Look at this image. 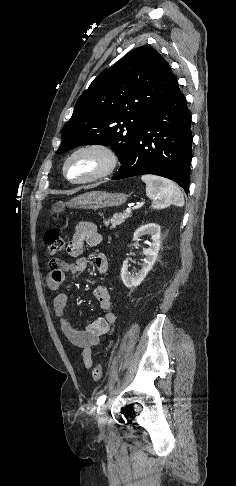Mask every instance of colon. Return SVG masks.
Returning <instances> with one entry per match:
<instances>
[{"label":"colon","mask_w":236,"mask_h":486,"mask_svg":"<svg viewBox=\"0 0 236 486\" xmlns=\"http://www.w3.org/2000/svg\"><path fill=\"white\" fill-rule=\"evenodd\" d=\"M44 243L47 253L50 257L55 258L64 249L65 241L61 234L56 230H48L44 235ZM103 375V368L100 364H96L92 370L93 380L98 382Z\"/></svg>","instance_id":"1"}]
</instances>
